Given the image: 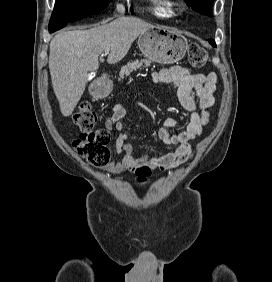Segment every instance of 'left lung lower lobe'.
Returning <instances> with one entry per match:
<instances>
[{"label":"left lung lower lobe","mask_w":272,"mask_h":282,"mask_svg":"<svg viewBox=\"0 0 272 282\" xmlns=\"http://www.w3.org/2000/svg\"><path fill=\"white\" fill-rule=\"evenodd\" d=\"M209 42H210V44H211L212 46L216 47V44H215V41H214V40H210Z\"/></svg>","instance_id":"obj_1"}]
</instances>
